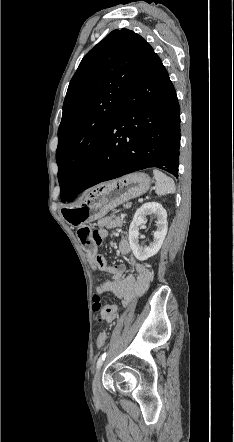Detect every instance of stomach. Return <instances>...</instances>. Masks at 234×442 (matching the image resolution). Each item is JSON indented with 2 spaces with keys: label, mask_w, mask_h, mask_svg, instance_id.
<instances>
[{
  "label": "stomach",
  "mask_w": 234,
  "mask_h": 442,
  "mask_svg": "<svg viewBox=\"0 0 234 442\" xmlns=\"http://www.w3.org/2000/svg\"><path fill=\"white\" fill-rule=\"evenodd\" d=\"M150 177L142 172L131 173L91 189L83 200L62 210L65 221L71 226H81L102 218L116 206L146 193Z\"/></svg>",
  "instance_id": "0dacf381"
}]
</instances>
